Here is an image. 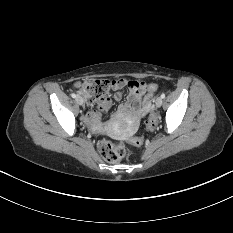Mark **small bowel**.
I'll list each match as a JSON object with an SVG mask.
<instances>
[{
	"instance_id": "small-bowel-1",
	"label": "small bowel",
	"mask_w": 233,
	"mask_h": 233,
	"mask_svg": "<svg viewBox=\"0 0 233 233\" xmlns=\"http://www.w3.org/2000/svg\"><path fill=\"white\" fill-rule=\"evenodd\" d=\"M113 99L120 101L123 97L122 89L126 86L130 91L126 100L119 106V115L127 114L131 123L136 122L140 117L144 116L146 112L143 109V97L146 91V84L138 80L117 79L111 82ZM90 104L96 103L98 107H93L86 115V121L93 131L100 132L103 130V125L100 119V109L108 110L111 107L112 100L106 98L103 100H89Z\"/></svg>"
}]
</instances>
